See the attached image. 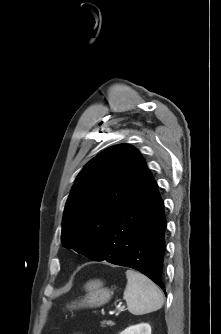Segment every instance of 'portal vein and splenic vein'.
<instances>
[{
    "label": "portal vein and splenic vein",
    "mask_w": 221,
    "mask_h": 334,
    "mask_svg": "<svg viewBox=\"0 0 221 334\" xmlns=\"http://www.w3.org/2000/svg\"><path fill=\"white\" fill-rule=\"evenodd\" d=\"M123 309H124V307H120V308H119V311H118V313H116V315H118L119 312L123 311Z\"/></svg>",
    "instance_id": "obj_1"
}]
</instances>
